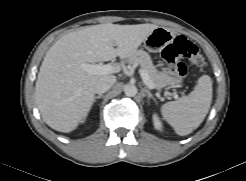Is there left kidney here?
I'll return each instance as SVG.
<instances>
[{"instance_id":"left-kidney-1","label":"left kidney","mask_w":246,"mask_h":181,"mask_svg":"<svg viewBox=\"0 0 246 181\" xmlns=\"http://www.w3.org/2000/svg\"><path fill=\"white\" fill-rule=\"evenodd\" d=\"M153 123H154V127L157 130L162 131V129H163L162 123L156 114L153 115Z\"/></svg>"}]
</instances>
